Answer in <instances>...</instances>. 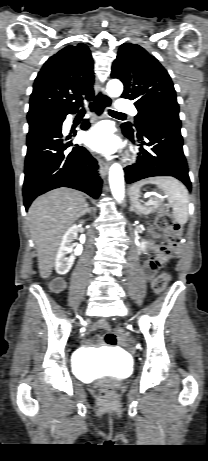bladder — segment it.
<instances>
[{
    "label": "bladder",
    "instance_id": "bladder-1",
    "mask_svg": "<svg viewBox=\"0 0 208 461\" xmlns=\"http://www.w3.org/2000/svg\"><path fill=\"white\" fill-rule=\"evenodd\" d=\"M75 369L83 376L94 374L125 378L130 372V361L121 356H115L110 360L94 361L87 352H83L78 355L75 361Z\"/></svg>",
    "mask_w": 208,
    "mask_h": 461
}]
</instances>
